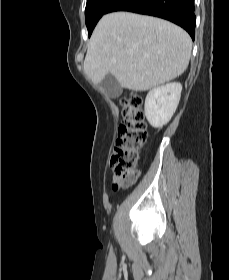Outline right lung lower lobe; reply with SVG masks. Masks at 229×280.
Masks as SVG:
<instances>
[{
    "label": "right lung lower lobe",
    "mask_w": 229,
    "mask_h": 280,
    "mask_svg": "<svg viewBox=\"0 0 229 280\" xmlns=\"http://www.w3.org/2000/svg\"><path fill=\"white\" fill-rule=\"evenodd\" d=\"M130 11L169 20L184 28L194 40V0H115L106 13Z\"/></svg>",
    "instance_id": "obj_1"
}]
</instances>
